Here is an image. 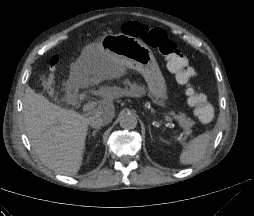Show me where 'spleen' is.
I'll use <instances>...</instances> for the list:
<instances>
[{"label": "spleen", "instance_id": "3e777b00", "mask_svg": "<svg viewBox=\"0 0 254 216\" xmlns=\"http://www.w3.org/2000/svg\"><path fill=\"white\" fill-rule=\"evenodd\" d=\"M212 139L211 132H205L186 144L180 154V163L189 165L199 162L206 154Z\"/></svg>", "mask_w": 254, "mask_h": 216}]
</instances>
